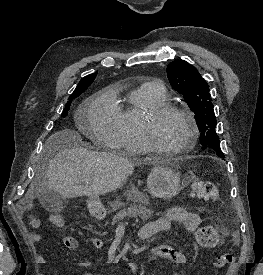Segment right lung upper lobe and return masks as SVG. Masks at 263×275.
<instances>
[{"instance_id":"right-lung-upper-lobe-1","label":"right lung upper lobe","mask_w":263,"mask_h":275,"mask_svg":"<svg viewBox=\"0 0 263 275\" xmlns=\"http://www.w3.org/2000/svg\"><path fill=\"white\" fill-rule=\"evenodd\" d=\"M95 77H96V73H93L82 78L79 84L77 85L76 89L72 93V95L80 92L84 88H88L91 85V83L94 81Z\"/></svg>"}]
</instances>
